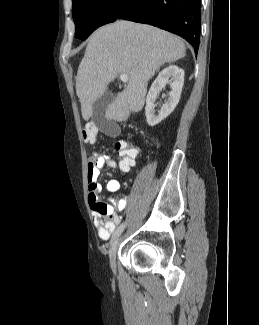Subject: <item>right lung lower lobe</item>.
Here are the masks:
<instances>
[{"instance_id": "obj_1", "label": "right lung lower lobe", "mask_w": 259, "mask_h": 325, "mask_svg": "<svg viewBox=\"0 0 259 325\" xmlns=\"http://www.w3.org/2000/svg\"><path fill=\"white\" fill-rule=\"evenodd\" d=\"M117 19L150 24L175 33L198 51L201 0H127Z\"/></svg>"}]
</instances>
